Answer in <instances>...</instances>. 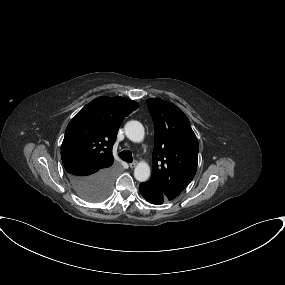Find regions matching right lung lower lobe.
<instances>
[{
	"label": "right lung lower lobe",
	"instance_id": "1",
	"mask_svg": "<svg viewBox=\"0 0 285 285\" xmlns=\"http://www.w3.org/2000/svg\"><path fill=\"white\" fill-rule=\"evenodd\" d=\"M114 176L115 169L113 166L92 172L83 170L76 173H68V178L73 188L81 197L96 191L110 192Z\"/></svg>",
	"mask_w": 285,
	"mask_h": 285
}]
</instances>
